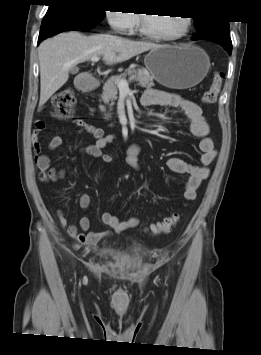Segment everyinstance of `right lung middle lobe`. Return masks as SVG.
<instances>
[{"label": "right lung middle lobe", "instance_id": "dd1d6c3e", "mask_svg": "<svg viewBox=\"0 0 261 355\" xmlns=\"http://www.w3.org/2000/svg\"><path fill=\"white\" fill-rule=\"evenodd\" d=\"M91 0H73V1H63L55 4H51L49 9H63L70 10L79 13L80 15L88 18L89 20L99 23L105 16V11L98 8L94 2Z\"/></svg>", "mask_w": 261, "mask_h": 355}]
</instances>
